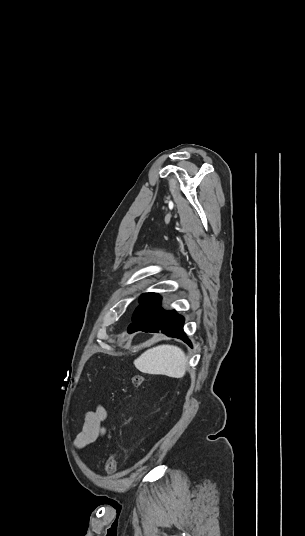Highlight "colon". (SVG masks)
Masks as SVG:
<instances>
[{
  "instance_id": "1",
  "label": "colon",
  "mask_w": 305,
  "mask_h": 536,
  "mask_svg": "<svg viewBox=\"0 0 305 536\" xmlns=\"http://www.w3.org/2000/svg\"><path fill=\"white\" fill-rule=\"evenodd\" d=\"M144 382V376L142 374H134L131 377V384L134 387L142 385ZM117 470V455L116 453H110L107 460V471L110 475L115 474Z\"/></svg>"
}]
</instances>
